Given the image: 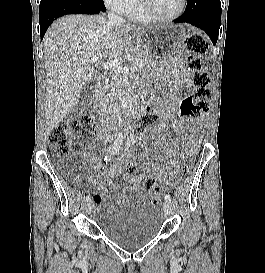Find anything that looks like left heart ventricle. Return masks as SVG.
Instances as JSON below:
<instances>
[{
	"label": "left heart ventricle",
	"mask_w": 265,
	"mask_h": 273,
	"mask_svg": "<svg viewBox=\"0 0 265 273\" xmlns=\"http://www.w3.org/2000/svg\"><path fill=\"white\" fill-rule=\"evenodd\" d=\"M148 5L158 16H171L179 10L181 0H148Z\"/></svg>",
	"instance_id": "left-heart-ventricle-1"
}]
</instances>
